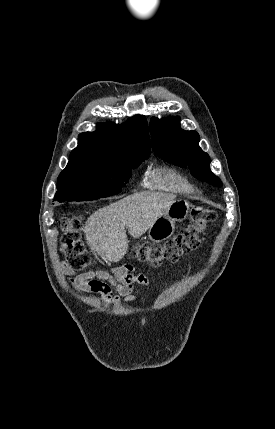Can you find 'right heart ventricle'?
Here are the masks:
<instances>
[{
	"label": "right heart ventricle",
	"mask_w": 275,
	"mask_h": 429,
	"mask_svg": "<svg viewBox=\"0 0 275 429\" xmlns=\"http://www.w3.org/2000/svg\"><path fill=\"white\" fill-rule=\"evenodd\" d=\"M149 186L153 189L178 192L192 193L195 187L180 172L174 169H156L153 170L148 180Z\"/></svg>",
	"instance_id": "right-heart-ventricle-1"
}]
</instances>
